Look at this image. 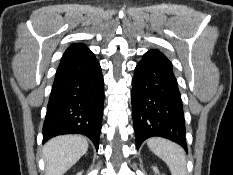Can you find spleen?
Masks as SVG:
<instances>
[{
    "mask_svg": "<svg viewBox=\"0 0 233 175\" xmlns=\"http://www.w3.org/2000/svg\"><path fill=\"white\" fill-rule=\"evenodd\" d=\"M147 145L166 162L172 175H186L185 152L179 145L159 137L150 138Z\"/></svg>",
    "mask_w": 233,
    "mask_h": 175,
    "instance_id": "obj_1",
    "label": "spleen"
}]
</instances>
